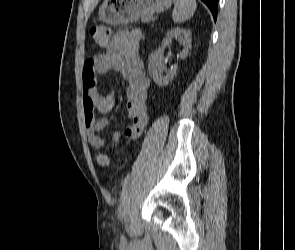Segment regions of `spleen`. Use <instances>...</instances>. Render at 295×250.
<instances>
[{
    "instance_id": "spleen-1",
    "label": "spleen",
    "mask_w": 295,
    "mask_h": 250,
    "mask_svg": "<svg viewBox=\"0 0 295 250\" xmlns=\"http://www.w3.org/2000/svg\"><path fill=\"white\" fill-rule=\"evenodd\" d=\"M196 7V0H176L172 14L173 21L175 23H183L190 19L196 10Z\"/></svg>"
}]
</instances>
